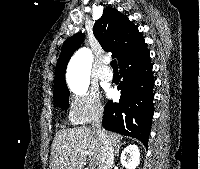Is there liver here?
Instances as JSON below:
<instances>
[{
	"instance_id": "liver-1",
	"label": "liver",
	"mask_w": 200,
	"mask_h": 169,
	"mask_svg": "<svg viewBox=\"0 0 200 169\" xmlns=\"http://www.w3.org/2000/svg\"><path fill=\"white\" fill-rule=\"evenodd\" d=\"M112 147L117 148L121 136L105 132ZM102 145L96 132L87 127L61 129L56 132L50 153L49 169H83L87 157L99 164Z\"/></svg>"
}]
</instances>
